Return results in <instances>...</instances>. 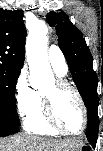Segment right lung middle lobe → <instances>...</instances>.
<instances>
[{"label":"right lung middle lobe","instance_id":"dd1d6c3e","mask_svg":"<svg viewBox=\"0 0 103 151\" xmlns=\"http://www.w3.org/2000/svg\"><path fill=\"white\" fill-rule=\"evenodd\" d=\"M20 70L0 66V121L20 127L15 105V87Z\"/></svg>","mask_w":103,"mask_h":151}]
</instances>
